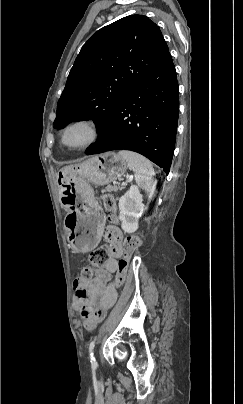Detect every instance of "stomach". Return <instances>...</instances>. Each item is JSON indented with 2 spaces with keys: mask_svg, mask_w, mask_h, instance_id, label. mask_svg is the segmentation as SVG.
I'll list each match as a JSON object with an SVG mask.
<instances>
[{
  "mask_svg": "<svg viewBox=\"0 0 243 404\" xmlns=\"http://www.w3.org/2000/svg\"><path fill=\"white\" fill-rule=\"evenodd\" d=\"M127 168L125 159L109 152L59 171L60 201L68 210L64 225L68 240L76 251L94 249L105 226L104 213L95 200L90 184L107 185L121 178Z\"/></svg>",
  "mask_w": 243,
  "mask_h": 404,
  "instance_id": "0dacf381",
  "label": "stomach"
}]
</instances>
